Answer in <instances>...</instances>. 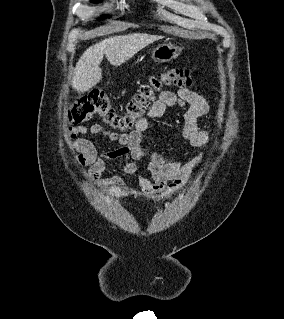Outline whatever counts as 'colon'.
Returning a JSON list of instances; mask_svg holds the SVG:
<instances>
[{"label":"colon","mask_w":284,"mask_h":319,"mask_svg":"<svg viewBox=\"0 0 284 319\" xmlns=\"http://www.w3.org/2000/svg\"><path fill=\"white\" fill-rule=\"evenodd\" d=\"M191 84L190 69H167L160 77H152L148 83L140 85L122 113L116 110L105 91L92 90L78 99L68 110V121L79 125L93 117H99L103 124L121 132H127L150 108L158 91L166 87L187 88Z\"/></svg>","instance_id":"colon-1"}]
</instances>
